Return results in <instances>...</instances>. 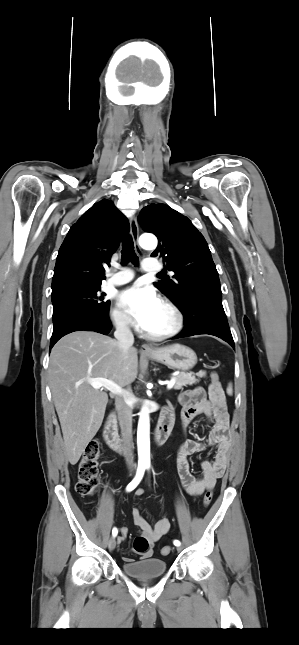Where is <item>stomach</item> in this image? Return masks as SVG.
I'll use <instances>...</instances> for the list:
<instances>
[{
  "instance_id": "1",
  "label": "stomach",
  "mask_w": 299,
  "mask_h": 645,
  "mask_svg": "<svg viewBox=\"0 0 299 645\" xmlns=\"http://www.w3.org/2000/svg\"><path fill=\"white\" fill-rule=\"evenodd\" d=\"M148 358L160 362L169 368L187 371L192 369L197 363L195 352L184 345L173 344L164 348H159L149 354Z\"/></svg>"
}]
</instances>
